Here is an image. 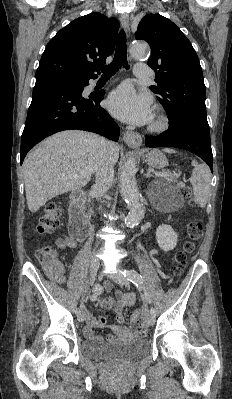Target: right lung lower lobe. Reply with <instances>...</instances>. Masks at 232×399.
<instances>
[{
    "label": "right lung lower lobe",
    "mask_w": 232,
    "mask_h": 399,
    "mask_svg": "<svg viewBox=\"0 0 232 399\" xmlns=\"http://www.w3.org/2000/svg\"><path fill=\"white\" fill-rule=\"evenodd\" d=\"M96 77L59 76L36 79L21 137V164L32 147L63 130L91 131L118 141V125L99 105L104 98V91L82 94L88 80Z\"/></svg>",
    "instance_id": "right-lung-lower-lobe-1"
}]
</instances>
